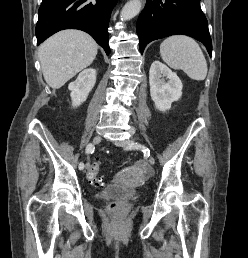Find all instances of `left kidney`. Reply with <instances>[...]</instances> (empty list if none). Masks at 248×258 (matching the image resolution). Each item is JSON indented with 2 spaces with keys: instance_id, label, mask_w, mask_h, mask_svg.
I'll use <instances>...</instances> for the list:
<instances>
[{
  "instance_id": "left-kidney-1",
  "label": "left kidney",
  "mask_w": 248,
  "mask_h": 258,
  "mask_svg": "<svg viewBox=\"0 0 248 258\" xmlns=\"http://www.w3.org/2000/svg\"><path fill=\"white\" fill-rule=\"evenodd\" d=\"M163 77V78H162ZM166 78L168 81L166 82ZM150 95L155 107L165 112L182 96V82L171 69L156 60L149 71Z\"/></svg>"
}]
</instances>
